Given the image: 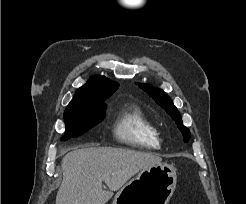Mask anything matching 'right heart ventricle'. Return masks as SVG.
I'll return each instance as SVG.
<instances>
[{
    "label": "right heart ventricle",
    "mask_w": 246,
    "mask_h": 204,
    "mask_svg": "<svg viewBox=\"0 0 246 204\" xmlns=\"http://www.w3.org/2000/svg\"><path fill=\"white\" fill-rule=\"evenodd\" d=\"M113 135L119 143L133 148L158 149L161 145L159 129L137 106L119 111Z\"/></svg>",
    "instance_id": "e07e8e85"
}]
</instances>
